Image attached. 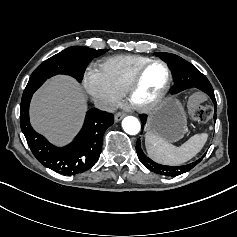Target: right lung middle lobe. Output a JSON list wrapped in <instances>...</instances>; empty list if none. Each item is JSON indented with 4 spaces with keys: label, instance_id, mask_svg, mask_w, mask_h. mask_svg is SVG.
Wrapping results in <instances>:
<instances>
[{
    "label": "right lung middle lobe",
    "instance_id": "1",
    "mask_svg": "<svg viewBox=\"0 0 237 237\" xmlns=\"http://www.w3.org/2000/svg\"><path fill=\"white\" fill-rule=\"evenodd\" d=\"M83 46H73L42 62L32 73L23 94L34 93L48 78L57 74L71 75L81 82L89 62L103 53Z\"/></svg>",
    "mask_w": 237,
    "mask_h": 237
}]
</instances>
